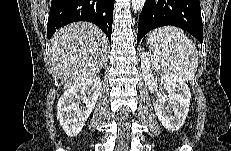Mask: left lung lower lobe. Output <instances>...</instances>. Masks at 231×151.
Segmentation results:
<instances>
[{
    "label": "left lung lower lobe",
    "mask_w": 231,
    "mask_h": 151,
    "mask_svg": "<svg viewBox=\"0 0 231 151\" xmlns=\"http://www.w3.org/2000/svg\"><path fill=\"white\" fill-rule=\"evenodd\" d=\"M166 25L182 28L202 44L199 0H146L139 17L137 45L146 33Z\"/></svg>",
    "instance_id": "obj_1"
}]
</instances>
